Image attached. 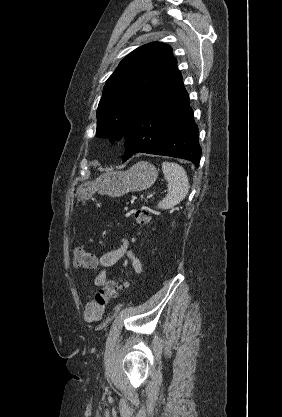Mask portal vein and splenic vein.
Wrapping results in <instances>:
<instances>
[{
    "label": "portal vein and splenic vein",
    "mask_w": 282,
    "mask_h": 417,
    "mask_svg": "<svg viewBox=\"0 0 282 417\" xmlns=\"http://www.w3.org/2000/svg\"><path fill=\"white\" fill-rule=\"evenodd\" d=\"M155 196H156L155 192H150L149 194L144 195L143 200L149 201L151 197H155Z\"/></svg>",
    "instance_id": "18ae733b"
}]
</instances>
